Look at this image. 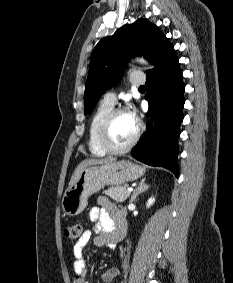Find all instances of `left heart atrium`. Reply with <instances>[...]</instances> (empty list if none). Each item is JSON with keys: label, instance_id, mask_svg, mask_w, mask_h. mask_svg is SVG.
Returning a JSON list of instances; mask_svg holds the SVG:
<instances>
[{"label": "left heart atrium", "instance_id": "left-heart-atrium-1", "mask_svg": "<svg viewBox=\"0 0 233 283\" xmlns=\"http://www.w3.org/2000/svg\"><path fill=\"white\" fill-rule=\"evenodd\" d=\"M130 114V116L135 120L137 121V117H136V112L134 110H131L128 112Z\"/></svg>", "mask_w": 233, "mask_h": 283}]
</instances>
